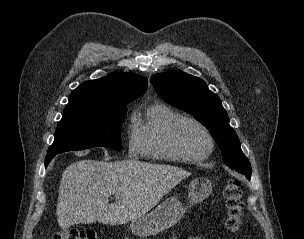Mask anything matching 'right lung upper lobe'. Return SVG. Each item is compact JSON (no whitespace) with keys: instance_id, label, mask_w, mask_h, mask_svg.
<instances>
[{"instance_id":"cb5924a9","label":"right lung upper lobe","mask_w":304,"mask_h":239,"mask_svg":"<svg viewBox=\"0 0 304 239\" xmlns=\"http://www.w3.org/2000/svg\"><path fill=\"white\" fill-rule=\"evenodd\" d=\"M147 85L145 77L133 73H110L86 81L71 92L64 113L120 108L143 95Z\"/></svg>"}]
</instances>
